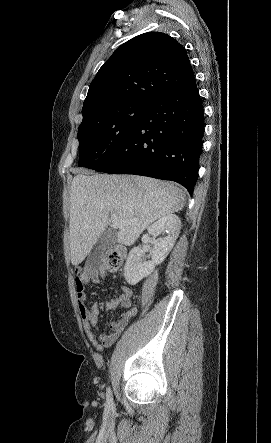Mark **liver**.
<instances>
[{
  "label": "liver",
  "instance_id": "6515ba94",
  "mask_svg": "<svg viewBox=\"0 0 271 443\" xmlns=\"http://www.w3.org/2000/svg\"><path fill=\"white\" fill-rule=\"evenodd\" d=\"M185 196L177 184L144 176L83 174L70 188L69 243L71 263L78 265L117 216V241L132 245L140 233L170 212H179Z\"/></svg>",
  "mask_w": 271,
  "mask_h": 443
}]
</instances>
